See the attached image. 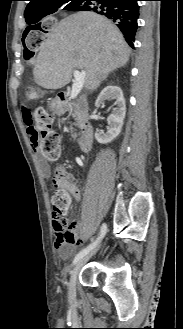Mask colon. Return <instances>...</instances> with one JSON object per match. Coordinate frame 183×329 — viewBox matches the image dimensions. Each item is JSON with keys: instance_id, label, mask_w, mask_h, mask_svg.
Instances as JSON below:
<instances>
[{"instance_id": "obj_1", "label": "colon", "mask_w": 183, "mask_h": 329, "mask_svg": "<svg viewBox=\"0 0 183 329\" xmlns=\"http://www.w3.org/2000/svg\"><path fill=\"white\" fill-rule=\"evenodd\" d=\"M60 14H49L48 19H38V25H26V31H20V44L26 62H32L39 49H43V40L48 38V32H52L55 21L61 20ZM31 139L38 146L41 155L48 162H55L60 155V139L58 133L51 128L52 118L43 108H37L30 115L29 121ZM56 172L55 177L59 175ZM54 177V178H55ZM52 192L53 215L57 217L62 226L71 233L73 238V225L66 219L71 206L70 190L61 182L53 181Z\"/></svg>"}]
</instances>
